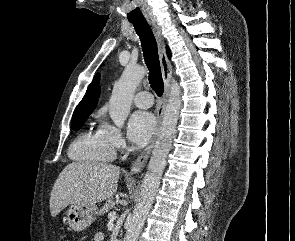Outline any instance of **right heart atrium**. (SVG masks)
Segmentation results:
<instances>
[{
	"mask_svg": "<svg viewBox=\"0 0 295 241\" xmlns=\"http://www.w3.org/2000/svg\"><path fill=\"white\" fill-rule=\"evenodd\" d=\"M102 127L106 132L108 141L114 152L122 149L124 147L125 142L121 130L116 126L108 123H104Z\"/></svg>",
	"mask_w": 295,
	"mask_h": 241,
	"instance_id": "obj_1",
	"label": "right heart atrium"
}]
</instances>
